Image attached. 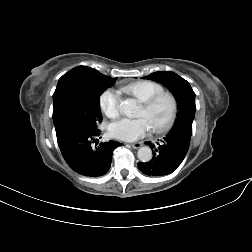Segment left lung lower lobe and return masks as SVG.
<instances>
[{
  "mask_svg": "<svg viewBox=\"0 0 252 252\" xmlns=\"http://www.w3.org/2000/svg\"><path fill=\"white\" fill-rule=\"evenodd\" d=\"M192 136V123L182 121L173 126L157 146L148 142L154 149L152 160L138 163L139 170L147 176H163L178 168L189 149Z\"/></svg>",
  "mask_w": 252,
  "mask_h": 252,
  "instance_id": "1",
  "label": "left lung lower lobe"
}]
</instances>
